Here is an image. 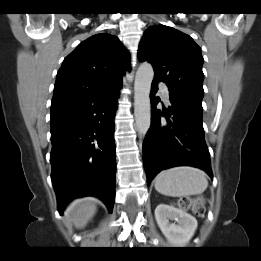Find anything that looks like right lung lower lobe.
I'll use <instances>...</instances> for the list:
<instances>
[{"instance_id":"1","label":"right lung lower lobe","mask_w":261,"mask_h":261,"mask_svg":"<svg viewBox=\"0 0 261 261\" xmlns=\"http://www.w3.org/2000/svg\"><path fill=\"white\" fill-rule=\"evenodd\" d=\"M120 88L51 106V180L61 214L72 199L88 195L101 199L109 212L113 209Z\"/></svg>"}]
</instances>
